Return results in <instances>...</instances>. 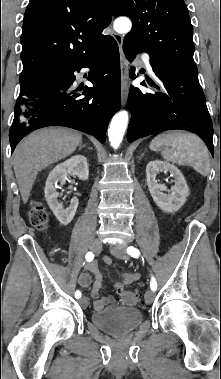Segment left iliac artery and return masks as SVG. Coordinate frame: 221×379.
Masks as SVG:
<instances>
[{
    "label": "left iliac artery",
    "mask_w": 221,
    "mask_h": 379,
    "mask_svg": "<svg viewBox=\"0 0 221 379\" xmlns=\"http://www.w3.org/2000/svg\"><path fill=\"white\" fill-rule=\"evenodd\" d=\"M127 253L129 255H131L132 257L134 258H138L140 256V251L133 247V246H130L127 248ZM150 288L152 291H156L157 290V282H156V279L154 278V276H152L151 278V281H150Z\"/></svg>",
    "instance_id": "44dca946"
}]
</instances>
